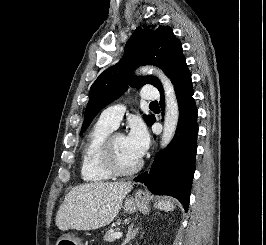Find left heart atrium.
<instances>
[{
  "instance_id": "39dd6f15",
  "label": "left heart atrium",
  "mask_w": 266,
  "mask_h": 245,
  "mask_svg": "<svg viewBox=\"0 0 266 245\" xmlns=\"http://www.w3.org/2000/svg\"><path fill=\"white\" fill-rule=\"evenodd\" d=\"M125 145L130 154L139 160L145 153L149 137L145 127L139 122H133L130 125V130L124 136Z\"/></svg>"
}]
</instances>
